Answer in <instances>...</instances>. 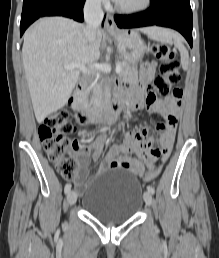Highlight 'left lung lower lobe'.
Masks as SVG:
<instances>
[{
  "mask_svg": "<svg viewBox=\"0 0 219 258\" xmlns=\"http://www.w3.org/2000/svg\"><path fill=\"white\" fill-rule=\"evenodd\" d=\"M119 28L151 25L170 27L179 31L192 47V10L189 0H152L144 12L133 15H115Z\"/></svg>",
  "mask_w": 219,
  "mask_h": 258,
  "instance_id": "obj_1",
  "label": "left lung lower lobe"
}]
</instances>
